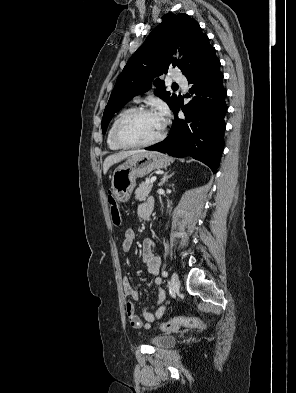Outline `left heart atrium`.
<instances>
[{
    "instance_id": "obj_1",
    "label": "left heart atrium",
    "mask_w": 296,
    "mask_h": 393,
    "mask_svg": "<svg viewBox=\"0 0 296 393\" xmlns=\"http://www.w3.org/2000/svg\"><path fill=\"white\" fill-rule=\"evenodd\" d=\"M167 114H168V110H167L166 106L161 105L159 108V111L157 112V115L160 118L163 125H164L165 118H166Z\"/></svg>"
}]
</instances>
